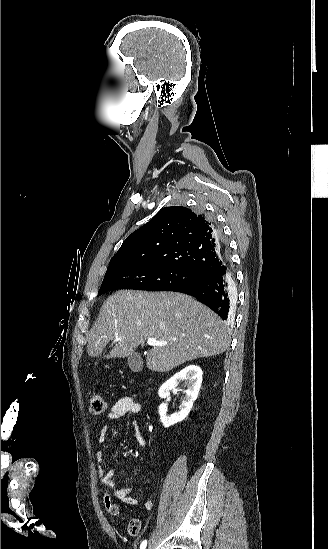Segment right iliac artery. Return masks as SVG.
Segmentation results:
<instances>
[{"mask_svg":"<svg viewBox=\"0 0 328 549\" xmlns=\"http://www.w3.org/2000/svg\"><path fill=\"white\" fill-rule=\"evenodd\" d=\"M146 546H147V540H144L140 545V549H145Z\"/></svg>","mask_w":328,"mask_h":549,"instance_id":"right-iliac-artery-1","label":"right iliac artery"}]
</instances>
